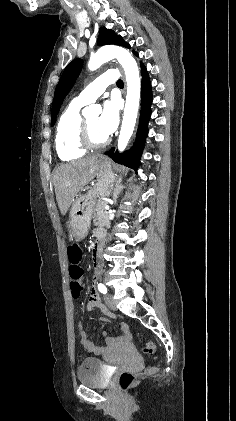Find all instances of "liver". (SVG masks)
<instances>
[{"mask_svg":"<svg viewBox=\"0 0 236 421\" xmlns=\"http://www.w3.org/2000/svg\"><path fill=\"white\" fill-rule=\"evenodd\" d=\"M97 168V156L79 158L76 162H66L54 168L53 182L61 215H66L77 192L96 176Z\"/></svg>","mask_w":236,"mask_h":421,"instance_id":"6515ba94","label":"liver"}]
</instances>
